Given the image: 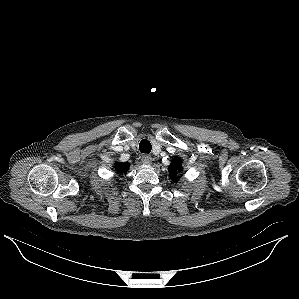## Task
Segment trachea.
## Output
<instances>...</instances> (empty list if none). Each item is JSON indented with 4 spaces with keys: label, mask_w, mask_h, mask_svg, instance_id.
Returning <instances> with one entry per match:
<instances>
[{
    "label": "trachea",
    "mask_w": 299,
    "mask_h": 299,
    "mask_svg": "<svg viewBox=\"0 0 299 299\" xmlns=\"http://www.w3.org/2000/svg\"><path fill=\"white\" fill-rule=\"evenodd\" d=\"M139 149L140 152L148 154L151 152L152 149L151 143L148 140L143 139L139 144Z\"/></svg>",
    "instance_id": "3493384b"
}]
</instances>
